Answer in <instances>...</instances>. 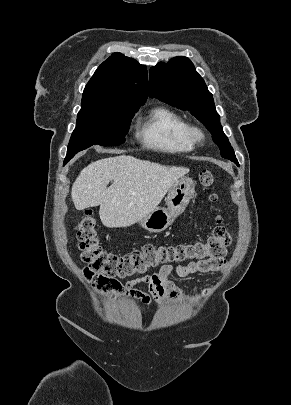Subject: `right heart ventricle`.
<instances>
[{"label": "right heart ventricle", "instance_id": "obj_1", "mask_svg": "<svg viewBox=\"0 0 291 405\" xmlns=\"http://www.w3.org/2000/svg\"><path fill=\"white\" fill-rule=\"evenodd\" d=\"M188 126L174 110L157 106L141 118L138 136L150 148L168 153H187L194 149L188 137Z\"/></svg>", "mask_w": 291, "mask_h": 405}]
</instances>
